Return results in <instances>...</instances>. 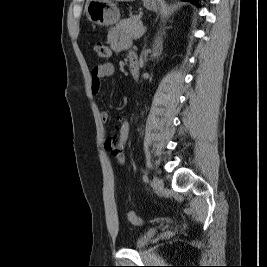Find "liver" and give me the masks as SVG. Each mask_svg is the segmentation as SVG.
I'll list each match as a JSON object with an SVG mask.
<instances>
[{
  "instance_id": "1",
  "label": "liver",
  "mask_w": 267,
  "mask_h": 267,
  "mask_svg": "<svg viewBox=\"0 0 267 267\" xmlns=\"http://www.w3.org/2000/svg\"><path fill=\"white\" fill-rule=\"evenodd\" d=\"M89 1V0H88ZM117 1H122V2H131V1H134V0H117Z\"/></svg>"
}]
</instances>
